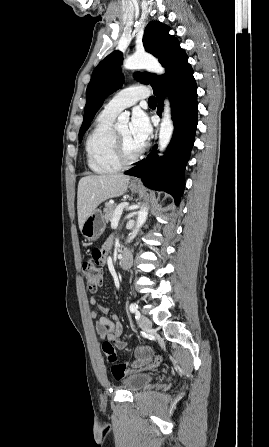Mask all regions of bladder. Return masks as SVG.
I'll list each match as a JSON object with an SVG mask.
<instances>
[{
  "label": "bladder",
  "instance_id": "obj_1",
  "mask_svg": "<svg viewBox=\"0 0 269 447\" xmlns=\"http://www.w3.org/2000/svg\"><path fill=\"white\" fill-rule=\"evenodd\" d=\"M155 378L154 373H130L120 380L121 390H137L149 386L151 380Z\"/></svg>",
  "mask_w": 269,
  "mask_h": 447
}]
</instances>
